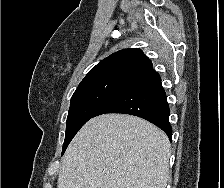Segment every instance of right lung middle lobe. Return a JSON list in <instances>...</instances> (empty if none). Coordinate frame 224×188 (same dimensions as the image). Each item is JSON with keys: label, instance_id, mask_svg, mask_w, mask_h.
Listing matches in <instances>:
<instances>
[{"label": "right lung middle lobe", "instance_id": "right-lung-middle-lobe-1", "mask_svg": "<svg viewBox=\"0 0 224 188\" xmlns=\"http://www.w3.org/2000/svg\"><path fill=\"white\" fill-rule=\"evenodd\" d=\"M130 81L125 78H105L79 84L71 98L62 154L78 130Z\"/></svg>", "mask_w": 224, "mask_h": 188}]
</instances>
